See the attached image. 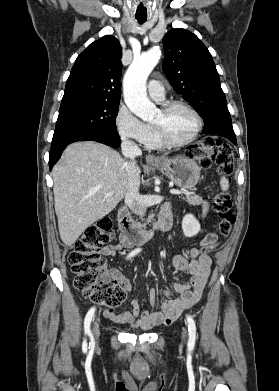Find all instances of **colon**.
I'll list each match as a JSON object with an SVG mask.
<instances>
[{"label": "colon", "mask_w": 279, "mask_h": 391, "mask_svg": "<svg viewBox=\"0 0 279 391\" xmlns=\"http://www.w3.org/2000/svg\"><path fill=\"white\" fill-rule=\"evenodd\" d=\"M191 155L203 167L216 165L221 173L229 175L233 171V152L219 139L206 138L194 146ZM213 210L219 216V232L226 237L235 223L232 201L227 192H219L213 200ZM114 238L113 222L104 217L87 227L74 244L69 254V264L75 277V287L90 302L106 306L109 309L119 307L125 300L126 293L118 285L108 270L100 249ZM217 246V242L204 248L207 254Z\"/></svg>", "instance_id": "colon-1"}]
</instances>
